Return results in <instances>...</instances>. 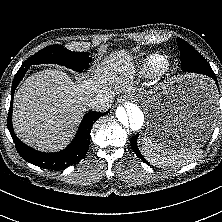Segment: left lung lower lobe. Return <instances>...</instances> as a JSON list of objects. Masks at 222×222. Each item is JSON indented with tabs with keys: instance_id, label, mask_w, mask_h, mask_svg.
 Instances as JSON below:
<instances>
[{
	"instance_id": "0a47b994",
	"label": "left lung lower lobe",
	"mask_w": 222,
	"mask_h": 222,
	"mask_svg": "<svg viewBox=\"0 0 222 222\" xmlns=\"http://www.w3.org/2000/svg\"><path fill=\"white\" fill-rule=\"evenodd\" d=\"M181 69L183 71H188V72H194V73H198V74H203L206 76L211 77L212 79H214L215 81H217L216 76L214 74L213 71H204L202 70V68L200 66L195 65V62H193V59L190 58L186 61H184L182 63V67ZM137 138H138V134H136L135 136H133L131 138V146L133 151L135 152V154L138 156V158H140L142 161H144L145 163H147V161L145 160V158L142 156L141 152L138 149L137 146Z\"/></svg>"
}]
</instances>
